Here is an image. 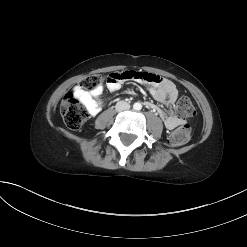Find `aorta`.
<instances>
[{
    "instance_id": "1",
    "label": "aorta",
    "mask_w": 247,
    "mask_h": 247,
    "mask_svg": "<svg viewBox=\"0 0 247 247\" xmlns=\"http://www.w3.org/2000/svg\"><path fill=\"white\" fill-rule=\"evenodd\" d=\"M135 108H136V109H141V104L136 103V104H135Z\"/></svg>"
}]
</instances>
